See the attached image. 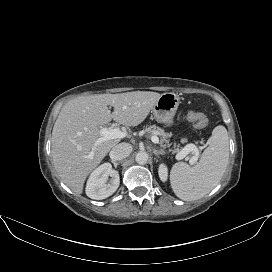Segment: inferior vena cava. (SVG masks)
I'll use <instances>...</instances> for the list:
<instances>
[{"instance_id":"1","label":"inferior vena cava","mask_w":272,"mask_h":272,"mask_svg":"<svg viewBox=\"0 0 272 272\" xmlns=\"http://www.w3.org/2000/svg\"><path fill=\"white\" fill-rule=\"evenodd\" d=\"M132 146L129 143H120L114 146L110 151L112 161L122 160L130 155Z\"/></svg>"}]
</instances>
